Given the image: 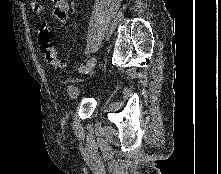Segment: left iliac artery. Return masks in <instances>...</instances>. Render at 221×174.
Segmentation results:
<instances>
[{
	"instance_id": "obj_1",
	"label": "left iliac artery",
	"mask_w": 221,
	"mask_h": 174,
	"mask_svg": "<svg viewBox=\"0 0 221 174\" xmlns=\"http://www.w3.org/2000/svg\"><path fill=\"white\" fill-rule=\"evenodd\" d=\"M85 68H86L85 66H80V68H79V72H80V73L85 72Z\"/></svg>"
}]
</instances>
